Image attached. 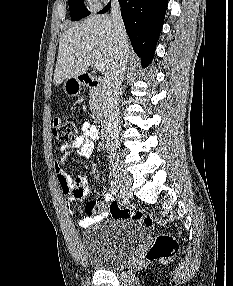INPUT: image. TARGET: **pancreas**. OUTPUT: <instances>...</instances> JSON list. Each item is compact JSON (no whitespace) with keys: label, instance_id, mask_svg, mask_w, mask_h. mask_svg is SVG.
<instances>
[{"label":"pancreas","instance_id":"cf45deb5","mask_svg":"<svg viewBox=\"0 0 233 286\" xmlns=\"http://www.w3.org/2000/svg\"><path fill=\"white\" fill-rule=\"evenodd\" d=\"M90 110L92 112V117L96 120L101 113V107L103 104V96L101 91L92 90L89 95Z\"/></svg>","mask_w":233,"mask_h":286}]
</instances>
